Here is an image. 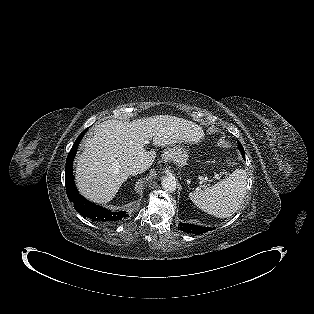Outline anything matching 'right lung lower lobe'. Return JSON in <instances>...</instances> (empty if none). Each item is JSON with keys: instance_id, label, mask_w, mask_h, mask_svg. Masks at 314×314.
Wrapping results in <instances>:
<instances>
[{"instance_id": "right-lung-lower-lobe-1", "label": "right lung lower lobe", "mask_w": 314, "mask_h": 314, "mask_svg": "<svg viewBox=\"0 0 314 314\" xmlns=\"http://www.w3.org/2000/svg\"><path fill=\"white\" fill-rule=\"evenodd\" d=\"M87 129H85L79 137L76 139L72 149L70 150L66 166H65V182H66V192L69 200L74 203V208L78 213H80L83 217H88L93 221L97 222H106L112 223L121 220L122 218L128 216L125 211H117L112 212L108 209L95 205L89 201H87L84 197H82L74 183L73 173H72V163L73 159L79 145L80 140L83 135L86 133Z\"/></svg>"}]
</instances>
